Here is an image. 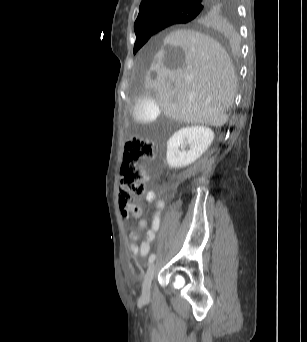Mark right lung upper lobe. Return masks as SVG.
Returning a JSON list of instances; mask_svg holds the SVG:
<instances>
[{"instance_id":"cb5924a9","label":"right lung upper lobe","mask_w":307,"mask_h":342,"mask_svg":"<svg viewBox=\"0 0 307 342\" xmlns=\"http://www.w3.org/2000/svg\"><path fill=\"white\" fill-rule=\"evenodd\" d=\"M230 6L229 0H143L134 30L138 33L156 27L168 13L196 9L198 15L186 23L206 34L225 37L229 34Z\"/></svg>"}]
</instances>
